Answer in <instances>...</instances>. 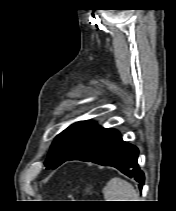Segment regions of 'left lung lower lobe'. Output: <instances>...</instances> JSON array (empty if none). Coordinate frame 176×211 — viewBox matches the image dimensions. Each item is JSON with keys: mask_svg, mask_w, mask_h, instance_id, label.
I'll return each mask as SVG.
<instances>
[{"mask_svg": "<svg viewBox=\"0 0 176 211\" xmlns=\"http://www.w3.org/2000/svg\"><path fill=\"white\" fill-rule=\"evenodd\" d=\"M138 149L124 142L118 131L102 128L69 160L93 162L104 166H112L139 182V189L144 184V174L139 169Z\"/></svg>", "mask_w": 176, "mask_h": 211, "instance_id": "1", "label": "left lung lower lobe"}]
</instances>
